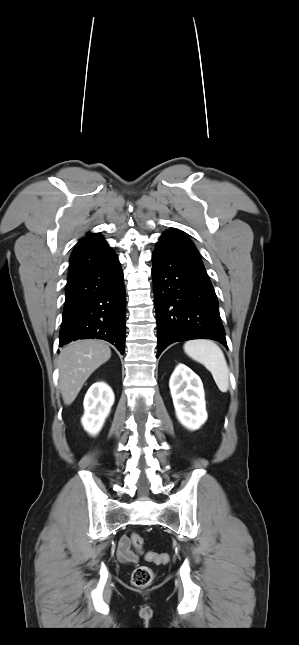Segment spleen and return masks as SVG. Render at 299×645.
<instances>
[{
  "mask_svg": "<svg viewBox=\"0 0 299 645\" xmlns=\"http://www.w3.org/2000/svg\"><path fill=\"white\" fill-rule=\"evenodd\" d=\"M185 353L193 360L203 364L212 374L214 381L223 393L229 388V369L220 347L211 340H190L184 344Z\"/></svg>",
  "mask_w": 299,
  "mask_h": 645,
  "instance_id": "3e777b00",
  "label": "spleen"
}]
</instances>
